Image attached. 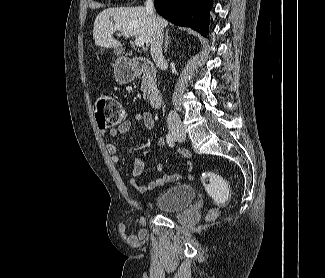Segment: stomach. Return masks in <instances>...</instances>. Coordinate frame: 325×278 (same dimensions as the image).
Returning a JSON list of instances; mask_svg holds the SVG:
<instances>
[{
	"instance_id": "stomach-1",
	"label": "stomach",
	"mask_w": 325,
	"mask_h": 278,
	"mask_svg": "<svg viewBox=\"0 0 325 278\" xmlns=\"http://www.w3.org/2000/svg\"><path fill=\"white\" fill-rule=\"evenodd\" d=\"M136 73L134 68L125 63L118 62L115 67V78L120 84H127L135 79Z\"/></svg>"
}]
</instances>
